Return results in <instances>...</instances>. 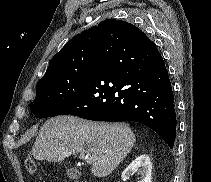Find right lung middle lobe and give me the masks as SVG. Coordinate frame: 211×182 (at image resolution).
I'll return each mask as SVG.
<instances>
[{
    "mask_svg": "<svg viewBox=\"0 0 211 182\" xmlns=\"http://www.w3.org/2000/svg\"><path fill=\"white\" fill-rule=\"evenodd\" d=\"M93 63L38 81L30 109L38 118L57 116L84 88Z\"/></svg>",
    "mask_w": 211,
    "mask_h": 182,
    "instance_id": "dd1d6c3e",
    "label": "right lung middle lobe"
}]
</instances>
